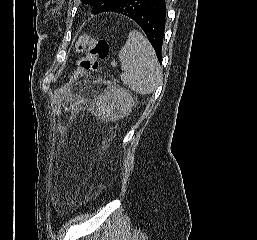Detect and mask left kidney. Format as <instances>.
I'll return each mask as SVG.
<instances>
[{
    "label": "left kidney",
    "instance_id": "obj_1",
    "mask_svg": "<svg viewBox=\"0 0 257 240\" xmlns=\"http://www.w3.org/2000/svg\"><path fill=\"white\" fill-rule=\"evenodd\" d=\"M99 103L100 116L115 120L124 117L130 112L133 99L127 91L118 88L106 92L100 98Z\"/></svg>",
    "mask_w": 257,
    "mask_h": 240
}]
</instances>
